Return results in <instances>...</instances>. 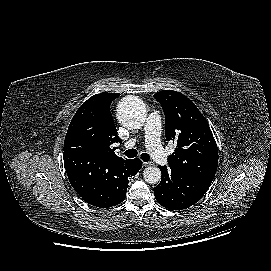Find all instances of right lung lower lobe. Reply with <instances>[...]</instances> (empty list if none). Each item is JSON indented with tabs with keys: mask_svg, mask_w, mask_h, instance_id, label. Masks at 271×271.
Segmentation results:
<instances>
[{
	"mask_svg": "<svg viewBox=\"0 0 271 271\" xmlns=\"http://www.w3.org/2000/svg\"><path fill=\"white\" fill-rule=\"evenodd\" d=\"M64 165L72 187L90 205L107 208L126 197L129 179L140 170V159L111 161L83 152H64Z\"/></svg>",
	"mask_w": 271,
	"mask_h": 271,
	"instance_id": "right-lung-lower-lobe-1",
	"label": "right lung lower lobe"
}]
</instances>
